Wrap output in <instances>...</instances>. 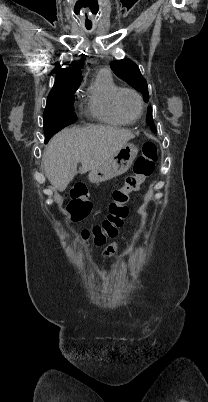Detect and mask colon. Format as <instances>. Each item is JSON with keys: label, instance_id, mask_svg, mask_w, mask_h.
I'll list each match as a JSON object with an SVG mask.
<instances>
[{"label": "colon", "instance_id": "colon-1", "mask_svg": "<svg viewBox=\"0 0 208 402\" xmlns=\"http://www.w3.org/2000/svg\"><path fill=\"white\" fill-rule=\"evenodd\" d=\"M156 157V144L153 141L145 142L141 155L138 156L133 164V173L125 178L123 185L112 191V201L109 205L107 218L81 231L80 239L82 244L88 245L92 242L104 245L108 238H113L117 235L118 229L123 226L124 220L128 215L127 203L130 195L136 192L140 184L152 175ZM82 196H87L85 184H75L70 192V197L74 199ZM74 211L72 204H69L67 213L70 219L74 222H81L83 219L82 214H90L92 207L90 205H76Z\"/></svg>", "mask_w": 208, "mask_h": 402}]
</instances>
